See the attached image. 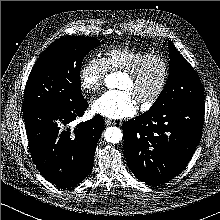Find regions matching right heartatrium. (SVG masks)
I'll use <instances>...</instances> for the list:
<instances>
[{
    "label": "right heart atrium",
    "mask_w": 220,
    "mask_h": 220,
    "mask_svg": "<svg viewBox=\"0 0 220 220\" xmlns=\"http://www.w3.org/2000/svg\"><path fill=\"white\" fill-rule=\"evenodd\" d=\"M107 68L101 58L90 57L79 71V84L83 91L91 94L98 93L104 83Z\"/></svg>",
    "instance_id": "d8ad5b80"
}]
</instances>
